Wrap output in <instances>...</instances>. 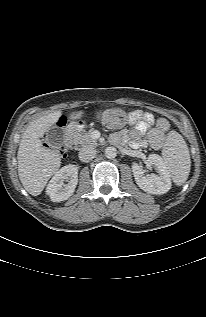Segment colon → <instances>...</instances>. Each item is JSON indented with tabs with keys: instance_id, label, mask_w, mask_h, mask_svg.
Here are the masks:
<instances>
[{
	"instance_id": "5ec220e1",
	"label": "colon",
	"mask_w": 206,
	"mask_h": 317,
	"mask_svg": "<svg viewBox=\"0 0 206 317\" xmlns=\"http://www.w3.org/2000/svg\"><path fill=\"white\" fill-rule=\"evenodd\" d=\"M99 120L108 128L119 129L129 122L130 114L123 109L111 108L100 112Z\"/></svg>"
}]
</instances>
